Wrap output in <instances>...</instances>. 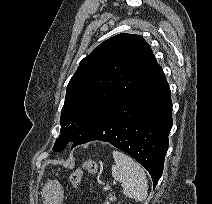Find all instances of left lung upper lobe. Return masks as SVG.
<instances>
[{
    "label": "left lung upper lobe",
    "mask_w": 212,
    "mask_h": 204,
    "mask_svg": "<svg viewBox=\"0 0 212 204\" xmlns=\"http://www.w3.org/2000/svg\"><path fill=\"white\" fill-rule=\"evenodd\" d=\"M150 46L132 34H119L86 56L70 79L61 115V135L53 151L65 149L158 68Z\"/></svg>",
    "instance_id": "left-lung-upper-lobe-1"
}]
</instances>
